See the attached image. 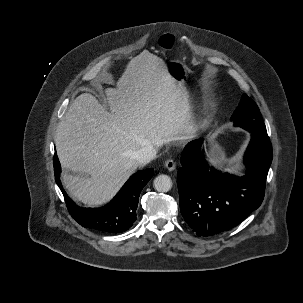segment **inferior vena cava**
I'll return each mask as SVG.
<instances>
[{
  "instance_id": "obj_1",
  "label": "inferior vena cava",
  "mask_w": 303,
  "mask_h": 303,
  "mask_svg": "<svg viewBox=\"0 0 303 303\" xmlns=\"http://www.w3.org/2000/svg\"><path fill=\"white\" fill-rule=\"evenodd\" d=\"M156 153V149L149 143L134 153V159L138 165H145L156 157Z\"/></svg>"
}]
</instances>
